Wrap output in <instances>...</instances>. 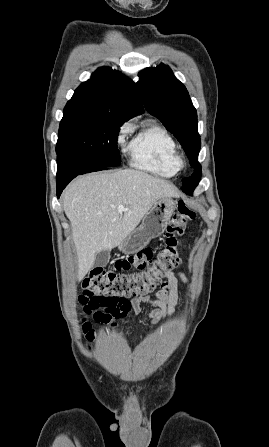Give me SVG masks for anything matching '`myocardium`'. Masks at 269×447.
Listing matches in <instances>:
<instances>
[{
	"label": "myocardium",
	"instance_id": "f54148a6",
	"mask_svg": "<svg viewBox=\"0 0 269 447\" xmlns=\"http://www.w3.org/2000/svg\"><path fill=\"white\" fill-rule=\"evenodd\" d=\"M176 164L178 166V168L183 167L184 166V158L182 155H178L176 157Z\"/></svg>",
	"mask_w": 269,
	"mask_h": 447
}]
</instances>
